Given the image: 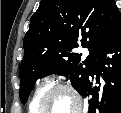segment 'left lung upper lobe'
Here are the masks:
<instances>
[{
  "label": "left lung upper lobe",
  "mask_w": 121,
  "mask_h": 113,
  "mask_svg": "<svg viewBox=\"0 0 121 113\" xmlns=\"http://www.w3.org/2000/svg\"><path fill=\"white\" fill-rule=\"evenodd\" d=\"M121 13L114 0H42L24 37V58L19 68L20 99L27 102L38 78L53 73L70 77L81 94L101 47L114 33ZM89 48L82 54L78 47Z\"/></svg>",
  "instance_id": "5c2ea615"
}]
</instances>
